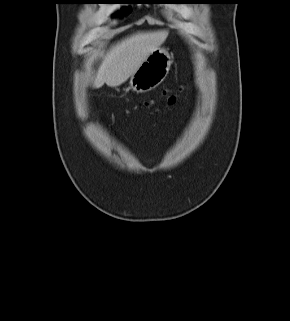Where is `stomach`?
<instances>
[{
    "label": "stomach",
    "instance_id": "1",
    "mask_svg": "<svg viewBox=\"0 0 290 321\" xmlns=\"http://www.w3.org/2000/svg\"><path fill=\"white\" fill-rule=\"evenodd\" d=\"M172 60L164 48L154 50L135 73L130 76V87L137 93L156 88L167 76Z\"/></svg>",
    "mask_w": 290,
    "mask_h": 321
}]
</instances>
